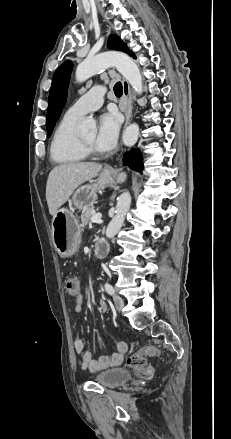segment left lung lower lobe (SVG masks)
I'll return each instance as SVG.
<instances>
[{"instance_id": "0a47b994", "label": "left lung lower lobe", "mask_w": 231, "mask_h": 439, "mask_svg": "<svg viewBox=\"0 0 231 439\" xmlns=\"http://www.w3.org/2000/svg\"><path fill=\"white\" fill-rule=\"evenodd\" d=\"M135 58V56H134ZM123 165L128 166L130 169L141 172L143 170V159L139 149H133L130 152L124 154Z\"/></svg>"}]
</instances>
